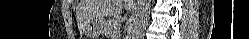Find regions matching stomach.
<instances>
[{
	"label": "stomach",
	"mask_w": 249,
	"mask_h": 39,
	"mask_svg": "<svg viewBox=\"0 0 249 39\" xmlns=\"http://www.w3.org/2000/svg\"><path fill=\"white\" fill-rule=\"evenodd\" d=\"M103 27V19L92 18L89 19L85 24V33L89 37H98L103 31Z\"/></svg>",
	"instance_id": "0dacf381"
}]
</instances>
